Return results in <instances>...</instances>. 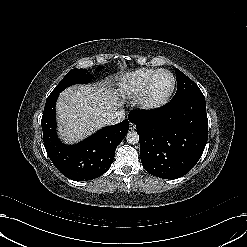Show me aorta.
Returning a JSON list of instances; mask_svg holds the SVG:
<instances>
[{"label": "aorta", "instance_id": "1", "mask_svg": "<svg viewBox=\"0 0 247 247\" xmlns=\"http://www.w3.org/2000/svg\"><path fill=\"white\" fill-rule=\"evenodd\" d=\"M126 140L129 144H137L139 142V135L135 131H130L126 135Z\"/></svg>", "mask_w": 247, "mask_h": 247}]
</instances>
